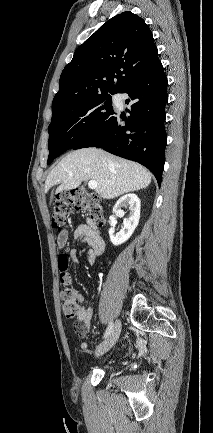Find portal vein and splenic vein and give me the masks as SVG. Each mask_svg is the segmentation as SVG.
Here are the masks:
<instances>
[{"label": "portal vein and splenic vein", "mask_w": 213, "mask_h": 433, "mask_svg": "<svg viewBox=\"0 0 213 433\" xmlns=\"http://www.w3.org/2000/svg\"><path fill=\"white\" fill-rule=\"evenodd\" d=\"M98 186V183L96 181H89L88 182V187L92 190H95Z\"/></svg>", "instance_id": "portal-vein-and-splenic-vein-1"}]
</instances>
